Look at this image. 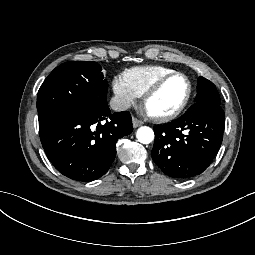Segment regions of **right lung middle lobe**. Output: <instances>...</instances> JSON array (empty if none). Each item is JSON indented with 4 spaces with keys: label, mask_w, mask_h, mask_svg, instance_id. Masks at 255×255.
<instances>
[{
    "label": "right lung middle lobe",
    "mask_w": 255,
    "mask_h": 255,
    "mask_svg": "<svg viewBox=\"0 0 255 255\" xmlns=\"http://www.w3.org/2000/svg\"><path fill=\"white\" fill-rule=\"evenodd\" d=\"M96 62L70 61L56 67L41 85L37 96L38 118L73 104L103 114L108 109V84Z\"/></svg>",
    "instance_id": "dd1d6c3e"
}]
</instances>
